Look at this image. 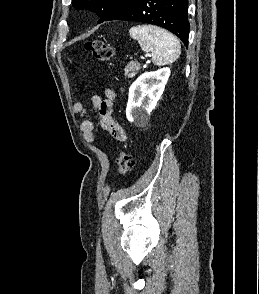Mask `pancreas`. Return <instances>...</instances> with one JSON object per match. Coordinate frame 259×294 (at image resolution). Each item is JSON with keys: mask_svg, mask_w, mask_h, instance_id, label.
<instances>
[{"mask_svg": "<svg viewBox=\"0 0 259 294\" xmlns=\"http://www.w3.org/2000/svg\"><path fill=\"white\" fill-rule=\"evenodd\" d=\"M139 69H140V63L131 61L126 65L124 69V75L125 77L133 78L137 74Z\"/></svg>", "mask_w": 259, "mask_h": 294, "instance_id": "1", "label": "pancreas"}]
</instances>
